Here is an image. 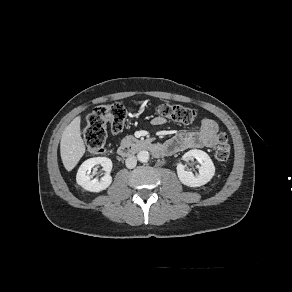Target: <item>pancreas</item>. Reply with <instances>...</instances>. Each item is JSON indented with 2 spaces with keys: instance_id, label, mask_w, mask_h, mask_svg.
<instances>
[{
  "instance_id": "pancreas-1",
  "label": "pancreas",
  "mask_w": 292,
  "mask_h": 292,
  "mask_svg": "<svg viewBox=\"0 0 292 292\" xmlns=\"http://www.w3.org/2000/svg\"><path fill=\"white\" fill-rule=\"evenodd\" d=\"M128 138H133L132 136H129Z\"/></svg>"
}]
</instances>
